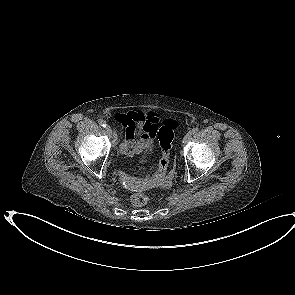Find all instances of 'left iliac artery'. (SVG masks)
Returning <instances> with one entry per match:
<instances>
[{"label":"left iliac artery","mask_w":295,"mask_h":295,"mask_svg":"<svg viewBox=\"0 0 295 295\" xmlns=\"http://www.w3.org/2000/svg\"><path fill=\"white\" fill-rule=\"evenodd\" d=\"M199 131V129L196 127V128H193L189 133L192 135V134H195Z\"/></svg>","instance_id":"obj_1"}]
</instances>
